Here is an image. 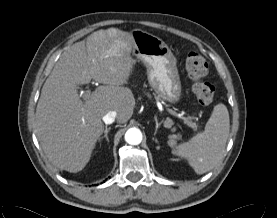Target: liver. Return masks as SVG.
Wrapping results in <instances>:
<instances>
[{"label":"liver","mask_w":277,"mask_h":218,"mask_svg":"<svg viewBox=\"0 0 277 218\" xmlns=\"http://www.w3.org/2000/svg\"><path fill=\"white\" fill-rule=\"evenodd\" d=\"M132 34L99 30L67 48L46 79L36 108L35 132L48 160L57 168L79 172L89 162L104 131L102 118L117 113L127 122L135 99L124 87L136 61ZM95 80V91L78 95L77 86Z\"/></svg>","instance_id":"1"}]
</instances>
